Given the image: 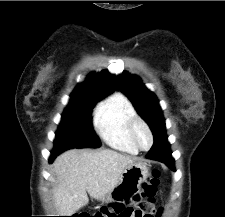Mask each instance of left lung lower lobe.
Listing matches in <instances>:
<instances>
[{
  "instance_id": "1",
  "label": "left lung lower lobe",
  "mask_w": 225,
  "mask_h": 217,
  "mask_svg": "<svg viewBox=\"0 0 225 217\" xmlns=\"http://www.w3.org/2000/svg\"><path fill=\"white\" fill-rule=\"evenodd\" d=\"M147 158L161 161L171 169H174V159L171 157V154L164 153L158 146H154V148L150 149Z\"/></svg>"
}]
</instances>
